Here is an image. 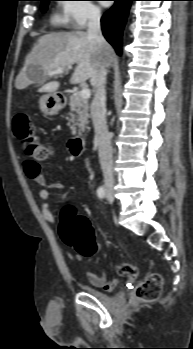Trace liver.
Segmentation results:
<instances>
[{"label":"liver","instance_id":"liver-1","mask_svg":"<svg viewBox=\"0 0 193 349\" xmlns=\"http://www.w3.org/2000/svg\"><path fill=\"white\" fill-rule=\"evenodd\" d=\"M113 59V49L106 42L103 45L91 38L84 31L57 32L44 35L27 55L24 67L16 78L18 89L38 81L31 73L38 68L42 76L57 69H68L77 64L71 77V84H80L89 80L91 85L102 66H109ZM60 86L58 81H51L39 88L38 92L55 93Z\"/></svg>","mask_w":193,"mask_h":349}]
</instances>
